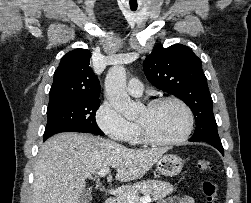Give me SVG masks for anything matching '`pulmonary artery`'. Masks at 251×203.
Returning a JSON list of instances; mask_svg holds the SVG:
<instances>
[{
	"label": "pulmonary artery",
	"instance_id": "1",
	"mask_svg": "<svg viewBox=\"0 0 251 203\" xmlns=\"http://www.w3.org/2000/svg\"><path fill=\"white\" fill-rule=\"evenodd\" d=\"M127 90L132 96H141L143 93V84L139 79L132 78L128 82Z\"/></svg>",
	"mask_w": 251,
	"mask_h": 203
}]
</instances>
